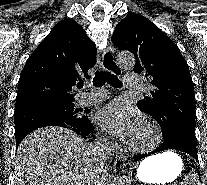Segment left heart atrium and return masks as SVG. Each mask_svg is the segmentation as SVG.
<instances>
[{
	"mask_svg": "<svg viewBox=\"0 0 207 185\" xmlns=\"http://www.w3.org/2000/svg\"><path fill=\"white\" fill-rule=\"evenodd\" d=\"M99 124L109 133L132 139L145 125L142 113L124 99H117L97 113Z\"/></svg>",
	"mask_w": 207,
	"mask_h": 185,
	"instance_id": "left-heart-atrium-1",
	"label": "left heart atrium"
}]
</instances>
